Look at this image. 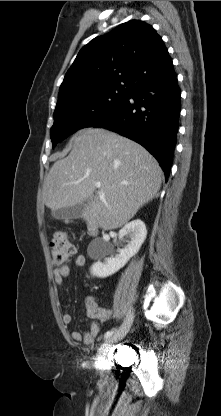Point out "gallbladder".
<instances>
[{
    "instance_id": "gallbladder-1",
    "label": "gallbladder",
    "mask_w": 221,
    "mask_h": 416,
    "mask_svg": "<svg viewBox=\"0 0 221 416\" xmlns=\"http://www.w3.org/2000/svg\"><path fill=\"white\" fill-rule=\"evenodd\" d=\"M87 205V201L78 203L74 206L63 207L53 210L51 215L57 220H69L82 217L83 211Z\"/></svg>"
}]
</instances>
